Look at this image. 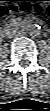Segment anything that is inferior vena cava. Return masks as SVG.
I'll use <instances>...</instances> for the list:
<instances>
[{
	"instance_id": "602c4592",
	"label": "inferior vena cava",
	"mask_w": 50,
	"mask_h": 111,
	"mask_svg": "<svg viewBox=\"0 0 50 111\" xmlns=\"http://www.w3.org/2000/svg\"><path fill=\"white\" fill-rule=\"evenodd\" d=\"M24 33H25L24 30H16L12 32V36L19 37V36H23Z\"/></svg>"
}]
</instances>
